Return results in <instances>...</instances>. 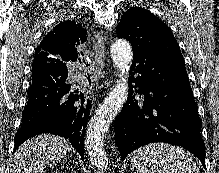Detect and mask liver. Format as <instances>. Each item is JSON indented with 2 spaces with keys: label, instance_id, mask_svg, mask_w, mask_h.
<instances>
[{
  "label": "liver",
  "instance_id": "6515ba94",
  "mask_svg": "<svg viewBox=\"0 0 219 173\" xmlns=\"http://www.w3.org/2000/svg\"><path fill=\"white\" fill-rule=\"evenodd\" d=\"M72 150L65 138L42 134L24 142L14 153L11 173H45Z\"/></svg>",
  "mask_w": 219,
  "mask_h": 173
}]
</instances>
